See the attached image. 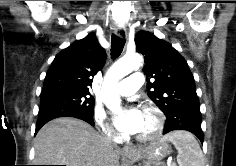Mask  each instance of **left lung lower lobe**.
<instances>
[{
  "instance_id": "left-lung-lower-lobe-1",
  "label": "left lung lower lobe",
  "mask_w": 236,
  "mask_h": 166,
  "mask_svg": "<svg viewBox=\"0 0 236 166\" xmlns=\"http://www.w3.org/2000/svg\"><path fill=\"white\" fill-rule=\"evenodd\" d=\"M166 117L164 134L174 130H187L196 135L203 143L204 135L201 129L202 116L199 101H193L183 111L173 112Z\"/></svg>"
}]
</instances>
